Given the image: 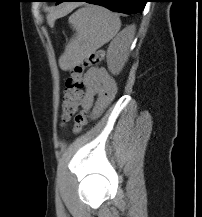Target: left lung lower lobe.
Segmentation results:
<instances>
[{"instance_id":"1","label":"left lung lower lobe","mask_w":202,"mask_h":217,"mask_svg":"<svg viewBox=\"0 0 202 217\" xmlns=\"http://www.w3.org/2000/svg\"><path fill=\"white\" fill-rule=\"evenodd\" d=\"M65 1L88 2L125 14L142 12L147 2V0H55L57 4Z\"/></svg>"}]
</instances>
